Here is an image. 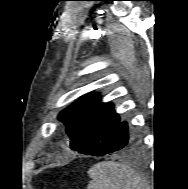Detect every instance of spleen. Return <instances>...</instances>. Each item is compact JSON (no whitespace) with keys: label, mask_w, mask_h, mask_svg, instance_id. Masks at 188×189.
<instances>
[{"label":"spleen","mask_w":188,"mask_h":189,"mask_svg":"<svg viewBox=\"0 0 188 189\" xmlns=\"http://www.w3.org/2000/svg\"><path fill=\"white\" fill-rule=\"evenodd\" d=\"M88 174L92 181L87 189H143L138 173L118 162H99L89 169Z\"/></svg>","instance_id":"3e777b00"}]
</instances>
